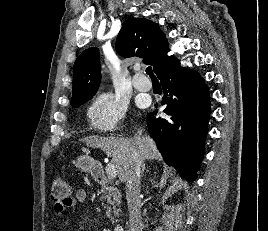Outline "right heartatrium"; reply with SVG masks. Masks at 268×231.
Returning <instances> with one entry per match:
<instances>
[{"instance_id":"1","label":"right heart atrium","mask_w":268,"mask_h":231,"mask_svg":"<svg viewBox=\"0 0 268 231\" xmlns=\"http://www.w3.org/2000/svg\"><path fill=\"white\" fill-rule=\"evenodd\" d=\"M127 111L123 98L112 91L98 93L91 101L87 115L94 129L113 132L119 129Z\"/></svg>"}]
</instances>
